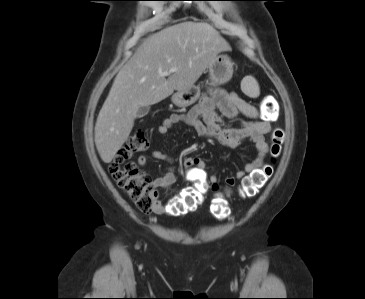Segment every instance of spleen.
<instances>
[{
  "label": "spleen",
  "instance_id": "obj_1",
  "mask_svg": "<svg viewBox=\"0 0 365 299\" xmlns=\"http://www.w3.org/2000/svg\"><path fill=\"white\" fill-rule=\"evenodd\" d=\"M242 91L251 98H257L260 94L259 85L252 76H246L241 82Z\"/></svg>",
  "mask_w": 365,
  "mask_h": 299
}]
</instances>
